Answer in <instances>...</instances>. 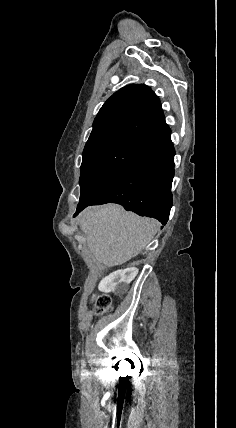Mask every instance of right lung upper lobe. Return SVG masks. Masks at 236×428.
Returning a JSON list of instances; mask_svg holds the SVG:
<instances>
[{
  "instance_id": "1",
  "label": "right lung upper lobe",
  "mask_w": 236,
  "mask_h": 428,
  "mask_svg": "<svg viewBox=\"0 0 236 428\" xmlns=\"http://www.w3.org/2000/svg\"><path fill=\"white\" fill-rule=\"evenodd\" d=\"M165 125L161 103L150 87L125 86L98 112L83 158L123 142H142Z\"/></svg>"
}]
</instances>
